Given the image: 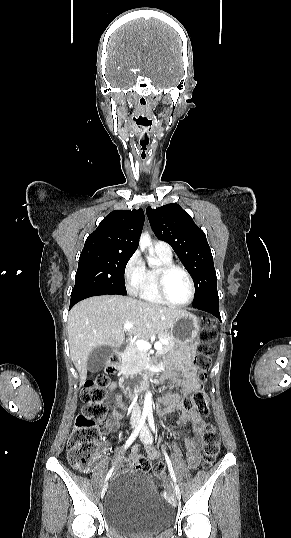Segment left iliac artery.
<instances>
[{
  "instance_id": "left-iliac-artery-1",
  "label": "left iliac artery",
  "mask_w": 291,
  "mask_h": 538,
  "mask_svg": "<svg viewBox=\"0 0 291 538\" xmlns=\"http://www.w3.org/2000/svg\"><path fill=\"white\" fill-rule=\"evenodd\" d=\"M148 422H149V425L151 427V430L155 433L156 430H155V423H154V417H153V414L152 413H149L148 414ZM164 451V455H165V459H166V462H167V465H168V468H169V472H170V475L173 479L174 482H176V476H175V472L173 470V467H172V463L167 455V453L165 452V450L163 449Z\"/></svg>"
}]
</instances>
